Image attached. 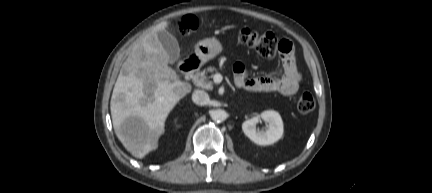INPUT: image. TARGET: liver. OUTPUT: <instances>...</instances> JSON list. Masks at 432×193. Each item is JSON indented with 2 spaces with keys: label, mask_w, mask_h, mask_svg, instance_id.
Instances as JSON below:
<instances>
[{
  "label": "liver",
  "mask_w": 432,
  "mask_h": 193,
  "mask_svg": "<svg viewBox=\"0 0 432 193\" xmlns=\"http://www.w3.org/2000/svg\"><path fill=\"white\" fill-rule=\"evenodd\" d=\"M167 27L168 22H161L133 48L122 65L111 97L115 134L137 158L158 147L169 113L191 90L168 66L169 56L157 37V32ZM128 119L138 120L131 135H125L121 129Z\"/></svg>",
  "instance_id": "6515ba94"
}]
</instances>
